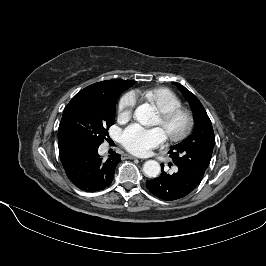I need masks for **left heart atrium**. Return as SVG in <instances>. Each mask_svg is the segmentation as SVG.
<instances>
[{"label": "left heart atrium", "mask_w": 266, "mask_h": 266, "mask_svg": "<svg viewBox=\"0 0 266 266\" xmlns=\"http://www.w3.org/2000/svg\"><path fill=\"white\" fill-rule=\"evenodd\" d=\"M166 138V133L160 127L145 128L134 123L123 130L121 143L129 152L147 156L152 149L162 146Z\"/></svg>", "instance_id": "1"}]
</instances>
